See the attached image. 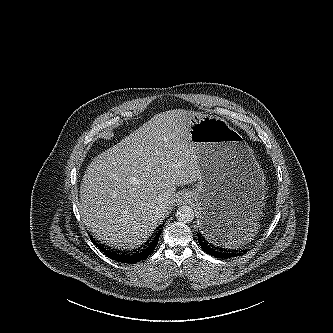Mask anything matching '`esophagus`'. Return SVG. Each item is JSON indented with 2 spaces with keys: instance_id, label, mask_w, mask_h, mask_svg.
I'll list each match as a JSON object with an SVG mask.
<instances>
[{
  "instance_id": "esophagus-1",
  "label": "esophagus",
  "mask_w": 333,
  "mask_h": 333,
  "mask_svg": "<svg viewBox=\"0 0 333 333\" xmlns=\"http://www.w3.org/2000/svg\"><path fill=\"white\" fill-rule=\"evenodd\" d=\"M189 200V195L187 193H182L177 199L178 204H182L184 202H187Z\"/></svg>"
}]
</instances>
